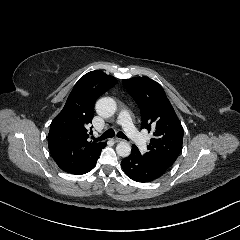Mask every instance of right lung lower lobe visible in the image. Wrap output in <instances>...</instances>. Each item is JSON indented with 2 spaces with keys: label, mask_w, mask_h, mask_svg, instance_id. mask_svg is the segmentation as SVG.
Instances as JSON below:
<instances>
[{
  "label": "right lung lower lobe",
  "mask_w": 240,
  "mask_h": 240,
  "mask_svg": "<svg viewBox=\"0 0 240 240\" xmlns=\"http://www.w3.org/2000/svg\"><path fill=\"white\" fill-rule=\"evenodd\" d=\"M95 165H96V162L88 169V170H86V171H84L83 173H81V174H85V173H87V172H89V171H91V169L92 168H94L95 167Z\"/></svg>",
  "instance_id": "1"
}]
</instances>
